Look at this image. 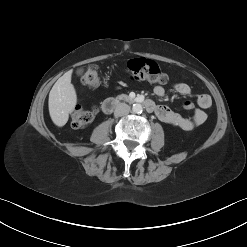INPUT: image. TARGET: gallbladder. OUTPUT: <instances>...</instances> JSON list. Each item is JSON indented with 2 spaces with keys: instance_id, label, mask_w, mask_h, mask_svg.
<instances>
[{
  "instance_id": "obj_1",
  "label": "gallbladder",
  "mask_w": 247,
  "mask_h": 247,
  "mask_svg": "<svg viewBox=\"0 0 247 247\" xmlns=\"http://www.w3.org/2000/svg\"><path fill=\"white\" fill-rule=\"evenodd\" d=\"M82 73H83V69H78V70H77V74L80 75V74H82Z\"/></svg>"
}]
</instances>
